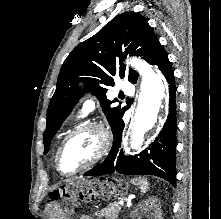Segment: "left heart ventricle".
Segmentation results:
<instances>
[{"instance_id":"left-heart-ventricle-1","label":"left heart ventricle","mask_w":221,"mask_h":219,"mask_svg":"<svg viewBox=\"0 0 221 219\" xmlns=\"http://www.w3.org/2000/svg\"><path fill=\"white\" fill-rule=\"evenodd\" d=\"M99 145L100 136L95 130L76 135L60 154V169L65 173H70L83 167L97 154Z\"/></svg>"}]
</instances>
